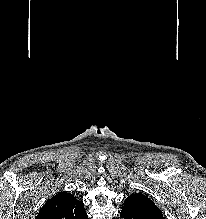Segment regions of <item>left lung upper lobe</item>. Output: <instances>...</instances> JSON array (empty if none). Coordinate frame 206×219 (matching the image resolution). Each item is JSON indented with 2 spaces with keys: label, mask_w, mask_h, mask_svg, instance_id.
Masks as SVG:
<instances>
[{
  "label": "left lung upper lobe",
  "mask_w": 206,
  "mask_h": 219,
  "mask_svg": "<svg viewBox=\"0 0 206 219\" xmlns=\"http://www.w3.org/2000/svg\"><path fill=\"white\" fill-rule=\"evenodd\" d=\"M130 205L133 209L143 216L151 219H164L162 212L147 196L139 193L131 194L124 201V207Z\"/></svg>",
  "instance_id": "left-lung-upper-lobe-1"
}]
</instances>
